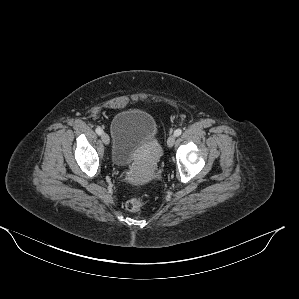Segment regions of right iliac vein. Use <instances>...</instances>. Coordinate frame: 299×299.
Listing matches in <instances>:
<instances>
[{
  "label": "right iliac vein",
  "instance_id": "63e3f726",
  "mask_svg": "<svg viewBox=\"0 0 299 299\" xmlns=\"http://www.w3.org/2000/svg\"><path fill=\"white\" fill-rule=\"evenodd\" d=\"M101 139L105 145H108L110 143V138L106 133L101 134Z\"/></svg>",
  "mask_w": 299,
  "mask_h": 299
}]
</instances>
